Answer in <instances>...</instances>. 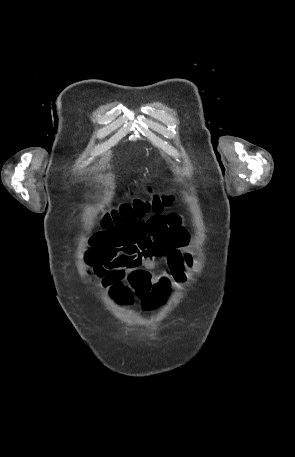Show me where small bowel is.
Instances as JSON below:
<instances>
[{"mask_svg":"<svg viewBox=\"0 0 295 457\" xmlns=\"http://www.w3.org/2000/svg\"><path fill=\"white\" fill-rule=\"evenodd\" d=\"M189 245L190 236L179 214H154L130 225L95 232L88 241L86 262L94 269L106 256L122 253L128 246L137 247L140 263L128 269L125 277L126 288L137 294V289L145 284L166 287L170 283L183 284L194 265ZM158 259L164 260L165 268L153 274L159 269Z\"/></svg>","mask_w":295,"mask_h":457,"instance_id":"obj_1","label":"small bowel"}]
</instances>
